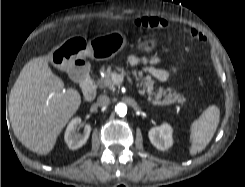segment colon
Returning <instances> with one entry per match:
<instances>
[{
    "mask_svg": "<svg viewBox=\"0 0 245 187\" xmlns=\"http://www.w3.org/2000/svg\"><path fill=\"white\" fill-rule=\"evenodd\" d=\"M134 26L139 29L158 30L165 28L167 26V22L157 17L145 16L135 19ZM187 32L199 41L203 42L206 40L205 36L197 30L191 29L187 30Z\"/></svg>",
    "mask_w": 245,
    "mask_h": 187,
    "instance_id": "obj_1",
    "label": "colon"
}]
</instances>
